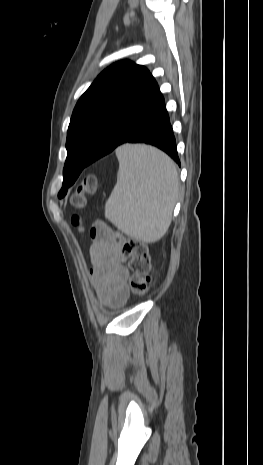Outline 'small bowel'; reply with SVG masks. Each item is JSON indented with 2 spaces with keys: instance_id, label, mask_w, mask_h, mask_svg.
I'll use <instances>...</instances> for the list:
<instances>
[{
  "instance_id": "small-bowel-1",
  "label": "small bowel",
  "mask_w": 263,
  "mask_h": 465,
  "mask_svg": "<svg viewBox=\"0 0 263 465\" xmlns=\"http://www.w3.org/2000/svg\"><path fill=\"white\" fill-rule=\"evenodd\" d=\"M91 238V280L96 293L103 304L119 308L126 303L129 296V271L123 265L125 257L106 227L95 226L91 230Z\"/></svg>"
}]
</instances>
